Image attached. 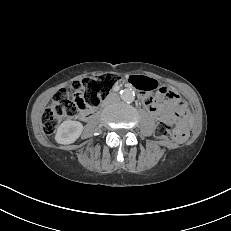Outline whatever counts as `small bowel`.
<instances>
[{"mask_svg":"<svg viewBox=\"0 0 231 231\" xmlns=\"http://www.w3.org/2000/svg\"><path fill=\"white\" fill-rule=\"evenodd\" d=\"M142 78H145L151 81L152 83L156 84V80H154L153 78H150V77H142ZM169 92L171 93L170 97L167 98V101L164 104H160L154 101L152 98H150L146 94L143 95L145 98L148 99V103H149L148 108L150 109L152 115L157 119L171 114L176 105L182 104L180 97L173 90L170 89ZM87 116H88L87 112H84L82 114L83 119H86Z\"/></svg>","mask_w":231,"mask_h":231,"instance_id":"1","label":"small bowel"}]
</instances>
